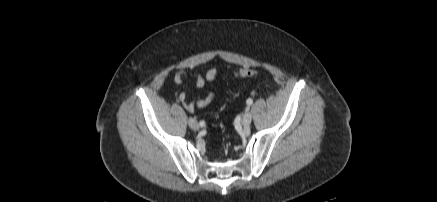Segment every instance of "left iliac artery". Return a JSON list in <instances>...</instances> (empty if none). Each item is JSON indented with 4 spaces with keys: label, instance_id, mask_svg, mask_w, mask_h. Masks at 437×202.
I'll return each mask as SVG.
<instances>
[{
    "label": "left iliac artery",
    "instance_id": "44dca946",
    "mask_svg": "<svg viewBox=\"0 0 437 202\" xmlns=\"http://www.w3.org/2000/svg\"><path fill=\"white\" fill-rule=\"evenodd\" d=\"M246 103L248 104V105H251L252 103H253V101H252V99H247V101H246Z\"/></svg>",
    "mask_w": 437,
    "mask_h": 202
}]
</instances>
